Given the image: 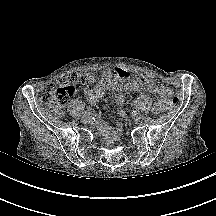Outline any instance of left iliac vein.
<instances>
[{
	"label": "left iliac vein",
	"mask_w": 216,
	"mask_h": 216,
	"mask_svg": "<svg viewBox=\"0 0 216 216\" xmlns=\"http://www.w3.org/2000/svg\"><path fill=\"white\" fill-rule=\"evenodd\" d=\"M134 120H141L143 119V114L137 111V114H132Z\"/></svg>",
	"instance_id": "left-iliac-vein-1"
}]
</instances>
